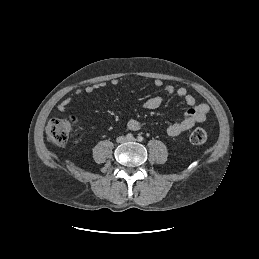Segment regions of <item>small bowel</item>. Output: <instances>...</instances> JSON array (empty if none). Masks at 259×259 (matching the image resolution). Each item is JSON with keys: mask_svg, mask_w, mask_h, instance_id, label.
Returning <instances> with one entry per match:
<instances>
[{"mask_svg": "<svg viewBox=\"0 0 259 259\" xmlns=\"http://www.w3.org/2000/svg\"><path fill=\"white\" fill-rule=\"evenodd\" d=\"M110 83L112 85H117L119 81L117 79H112ZM105 85V82H99L86 86L83 89H77L74 91V96H79L83 93L91 94L96 89L104 87ZM154 86L157 88H163L166 96L168 97L175 95L178 96L189 107L182 120L168 126L166 131L170 137H176L190 130L194 125L205 121L208 113L210 112L209 106L205 103L197 104L194 96L190 94L186 88L180 87L176 89L172 85H165L161 79L154 80ZM71 101V97L62 100L58 105V110L62 113L65 112ZM162 102L163 98L161 96H154L145 101L144 108L148 110H155L161 106ZM126 128L131 131H138L142 128V123L136 119H131L128 121Z\"/></svg>", "mask_w": 259, "mask_h": 259, "instance_id": "small-bowel-1", "label": "small bowel"}]
</instances>
